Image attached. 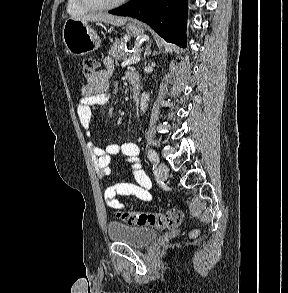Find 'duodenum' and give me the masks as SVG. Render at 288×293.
Wrapping results in <instances>:
<instances>
[{
	"label": "duodenum",
	"mask_w": 288,
	"mask_h": 293,
	"mask_svg": "<svg viewBox=\"0 0 288 293\" xmlns=\"http://www.w3.org/2000/svg\"><path fill=\"white\" fill-rule=\"evenodd\" d=\"M130 83L132 86V96L134 100H138L141 91V82L137 75H133L130 77Z\"/></svg>",
	"instance_id": "410a0bca"
}]
</instances>
